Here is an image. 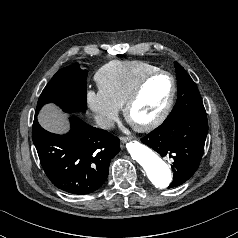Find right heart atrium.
Wrapping results in <instances>:
<instances>
[{
    "mask_svg": "<svg viewBox=\"0 0 238 238\" xmlns=\"http://www.w3.org/2000/svg\"><path fill=\"white\" fill-rule=\"evenodd\" d=\"M86 102L102 129H110L119 115V108L110 102L100 91L89 90Z\"/></svg>",
    "mask_w": 238,
    "mask_h": 238,
    "instance_id": "obj_1",
    "label": "right heart atrium"
}]
</instances>
